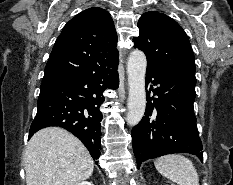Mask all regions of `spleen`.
Here are the masks:
<instances>
[{"label": "spleen", "mask_w": 233, "mask_h": 185, "mask_svg": "<svg viewBox=\"0 0 233 185\" xmlns=\"http://www.w3.org/2000/svg\"><path fill=\"white\" fill-rule=\"evenodd\" d=\"M155 168L164 177L178 185H199V176L192 161L180 154L160 157L154 162Z\"/></svg>", "instance_id": "obj_1"}]
</instances>
